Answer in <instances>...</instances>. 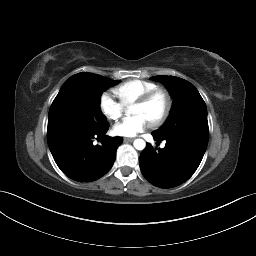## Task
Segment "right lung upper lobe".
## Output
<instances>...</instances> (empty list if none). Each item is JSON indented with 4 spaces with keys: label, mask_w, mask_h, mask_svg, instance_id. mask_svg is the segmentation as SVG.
<instances>
[{
    "label": "right lung upper lobe",
    "mask_w": 256,
    "mask_h": 256,
    "mask_svg": "<svg viewBox=\"0 0 256 256\" xmlns=\"http://www.w3.org/2000/svg\"><path fill=\"white\" fill-rule=\"evenodd\" d=\"M67 83H68V82H65L62 87L64 88V87L67 85Z\"/></svg>",
    "instance_id": "right-lung-upper-lobe-1"
}]
</instances>
